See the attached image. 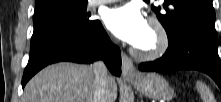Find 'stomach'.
Masks as SVG:
<instances>
[{
  "mask_svg": "<svg viewBox=\"0 0 221 102\" xmlns=\"http://www.w3.org/2000/svg\"><path fill=\"white\" fill-rule=\"evenodd\" d=\"M130 82L138 91L152 99L169 101L174 97V90L167 81L158 74H146Z\"/></svg>",
  "mask_w": 221,
  "mask_h": 102,
  "instance_id": "0dacf381",
  "label": "stomach"
}]
</instances>
